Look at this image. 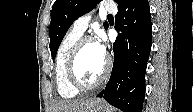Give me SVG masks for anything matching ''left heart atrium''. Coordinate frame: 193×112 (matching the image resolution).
Wrapping results in <instances>:
<instances>
[{
	"label": "left heart atrium",
	"instance_id": "left-heart-atrium-1",
	"mask_svg": "<svg viewBox=\"0 0 193 112\" xmlns=\"http://www.w3.org/2000/svg\"><path fill=\"white\" fill-rule=\"evenodd\" d=\"M96 44H97L98 49H99V51L101 52V54L105 56L106 47H105L104 42H103V41H98V42H96Z\"/></svg>",
	"mask_w": 193,
	"mask_h": 112
}]
</instances>
